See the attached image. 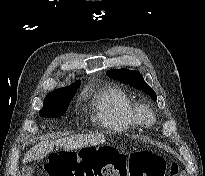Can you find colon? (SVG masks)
I'll return each mask as SVG.
<instances>
[{"label":"colon","mask_w":205,"mask_h":176,"mask_svg":"<svg viewBox=\"0 0 205 176\" xmlns=\"http://www.w3.org/2000/svg\"><path fill=\"white\" fill-rule=\"evenodd\" d=\"M49 176H165V160L156 153L141 150L128 160L106 149L53 152L47 165ZM178 172L176 163L170 166L171 176Z\"/></svg>","instance_id":"1"}]
</instances>
